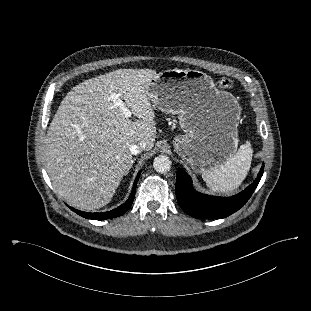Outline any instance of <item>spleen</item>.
Instances as JSON below:
<instances>
[{"instance_id":"1","label":"spleen","mask_w":311,"mask_h":311,"mask_svg":"<svg viewBox=\"0 0 311 311\" xmlns=\"http://www.w3.org/2000/svg\"><path fill=\"white\" fill-rule=\"evenodd\" d=\"M253 149L249 142L219 168L202 173V178L211 191L226 194L236 190L246 178L251 167Z\"/></svg>"}]
</instances>
